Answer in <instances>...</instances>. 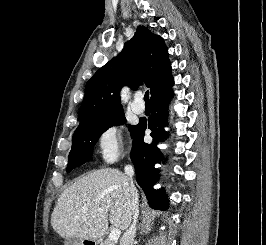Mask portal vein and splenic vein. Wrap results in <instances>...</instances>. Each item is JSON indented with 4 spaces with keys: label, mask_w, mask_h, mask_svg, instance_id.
Masks as SVG:
<instances>
[{
    "label": "portal vein and splenic vein",
    "mask_w": 266,
    "mask_h": 245,
    "mask_svg": "<svg viewBox=\"0 0 266 245\" xmlns=\"http://www.w3.org/2000/svg\"><path fill=\"white\" fill-rule=\"evenodd\" d=\"M98 211H102V209H98ZM83 213H87L86 209H83ZM120 235H121L120 229H112V231H110L108 241H118Z\"/></svg>",
    "instance_id": "1"
}]
</instances>
